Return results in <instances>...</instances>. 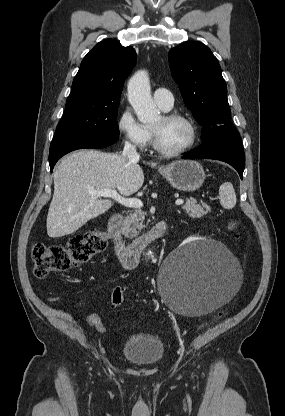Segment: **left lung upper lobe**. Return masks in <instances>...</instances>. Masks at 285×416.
<instances>
[{
	"instance_id": "1",
	"label": "left lung upper lobe",
	"mask_w": 285,
	"mask_h": 416,
	"mask_svg": "<svg viewBox=\"0 0 285 416\" xmlns=\"http://www.w3.org/2000/svg\"><path fill=\"white\" fill-rule=\"evenodd\" d=\"M169 62L186 106L203 126V141L239 134L231 122L221 67L211 50L201 42L188 41L170 50Z\"/></svg>"
}]
</instances>
